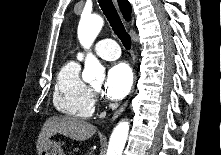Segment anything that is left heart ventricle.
I'll return each mask as SVG.
<instances>
[{"label": "left heart ventricle", "mask_w": 221, "mask_h": 155, "mask_svg": "<svg viewBox=\"0 0 221 155\" xmlns=\"http://www.w3.org/2000/svg\"><path fill=\"white\" fill-rule=\"evenodd\" d=\"M99 86H100L99 84H95L94 88H99Z\"/></svg>", "instance_id": "left-heart-ventricle-1"}]
</instances>
